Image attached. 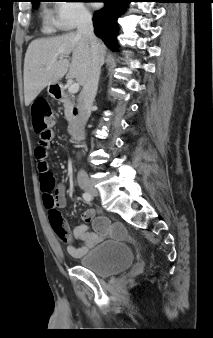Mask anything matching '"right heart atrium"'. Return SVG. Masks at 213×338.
Masks as SVG:
<instances>
[{
    "instance_id": "1",
    "label": "right heart atrium",
    "mask_w": 213,
    "mask_h": 338,
    "mask_svg": "<svg viewBox=\"0 0 213 338\" xmlns=\"http://www.w3.org/2000/svg\"><path fill=\"white\" fill-rule=\"evenodd\" d=\"M90 20V13L83 3L78 1L59 2L55 6V15L48 21L57 27L70 30Z\"/></svg>"
}]
</instances>
